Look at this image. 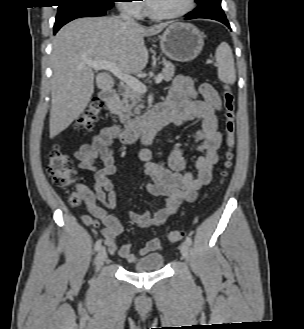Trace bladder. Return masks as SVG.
Returning <instances> with one entry per match:
<instances>
[{"instance_id": "bladder-1", "label": "bladder", "mask_w": 304, "mask_h": 329, "mask_svg": "<svg viewBox=\"0 0 304 329\" xmlns=\"http://www.w3.org/2000/svg\"><path fill=\"white\" fill-rule=\"evenodd\" d=\"M165 264V258L160 252L147 254L132 264L131 272L147 273L160 271Z\"/></svg>"}]
</instances>
